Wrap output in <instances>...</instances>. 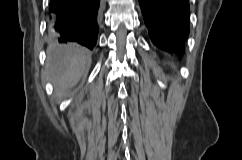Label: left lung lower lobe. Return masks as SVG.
<instances>
[{
    "label": "left lung lower lobe",
    "mask_w": 242,
    "mask_h": 160,
    "mask_svg": "<svg viewBox=\"0 0 242 160\" xmlns=\"http://www.w3.org/2000/svg\"><path fill=\"white\" fill-rule=\"evenodd\" d=\"M152 42L167 52L184 53L189 34V0H139Z\"/></svg>",
    "instance_id": "obj_1"
}]
</instances>
